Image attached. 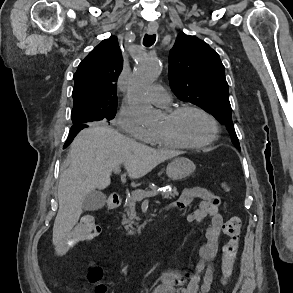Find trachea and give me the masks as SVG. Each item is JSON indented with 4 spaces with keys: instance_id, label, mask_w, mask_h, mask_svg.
Listing matches in <instances>:
<instances>
[{
    "instance_id": "1",
    "label": "trachea",
    "mask_w": 293,
    "mask_h": 293,
    "mask_svg": "<svg viewBox=\"0 0 293 293\" xmlns=\"http://www.w3.org/2000/svg\"><path fill=\"white\" fill-rule=\"evenodd\" d=\"M156 40V35H145L144 39H143V44L147 47L153 45L155 43Z\"/></svg>"
}]
</instances>
